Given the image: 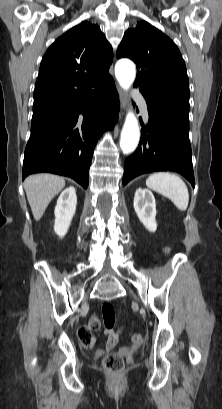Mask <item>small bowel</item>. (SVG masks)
Wrapping results in <instances>:
<instances>
[{
	"mask_svg": "<svg viewBox=\"0 0 222 409\" xmlns=\"http://www.w3.org/2000/svg\"><path fill=\"white\" fill-rule=\"evenodd\" d=\"M86 327L88 328L90 338H89L88 341L83 342V344L86 347H93L94 342H95V338L92 336V332L99 329L100 323H99L98 319L95 316H93L89 320L88 325ZM106 334L108 336L107 343H106V345H105V347L103 349H98L97 350L98 353H103V352H107V351L112 350L113 348H115L117 346V344L119 342V336H120L119 331L107 330Z\"/></svg>",
	"mask_w": 222,
	"mask_h": 409,
	"instance_id": "obj_1",
	"label": "small bowel"
}]
</instances>
